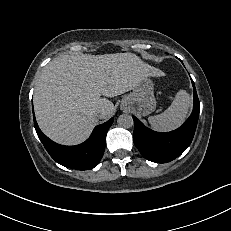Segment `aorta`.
Instances as JSON below:
<instances>
[{
    "mask_svg": "<svg viewBox=\"0 0 231 231\" xmlns=\"http://www.w3.org/2000/svg\"><path fill=\"white\" fill-rule=\"evenodd\" d=\"M117 123H118V126L128 129L133 126L134 121H133L132 116L128 114H122L118 117Z\"/></svg>",
    "mask_w": 231,
    "mask_h": 231,
    "instance_id": "aorta-1",
    "label": "aorta"
}]
</instances>
